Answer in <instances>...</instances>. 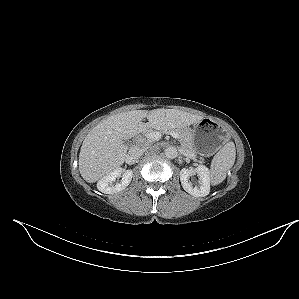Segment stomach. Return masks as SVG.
I'll list each match as a JSON object with an SVG mask.
<instances>
[{"mask_svg":"<svg viewBox=\"0 0 299 299\" xmlns=\"http://www.w3.org/2000/svg\"><path fill=\"white\" fill-rule=\"evenodd\" d=\"M190 132L193 148L202 156L214 154L226 141L222 127L207 118L195 123Z\"/></svg>","mask_w":299,"mask_h":299,"instance_id":"1","label":"stomach"}]
</instances>
